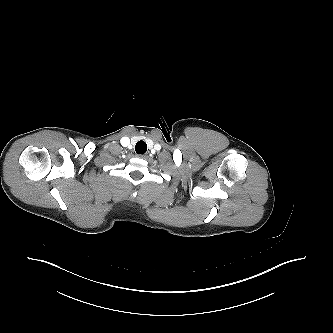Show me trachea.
Segmentation results:
<instances>
[{
	"instance_id": "1",
	"label": "trachea",
	"mask_w": 333,
	"mask_h": 333,
	"mask_svg": "<svg viewBox=\"0 0 333 333\" xmlns=\"http://www.w3.org/2000/svg\"><path fill=\"white\" fill-rule=\"evenodd\" d=\"M135 151L138 154H144L147 151V144L143 140H140L137 142L135 146Z\"/></svg>"
}]
</instances>
